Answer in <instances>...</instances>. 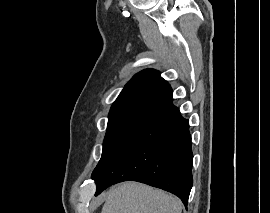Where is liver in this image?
I'll return each mask as SVG.
<instances>
[{
  "label": "liver",
  "instance_id": "liver-1",
  "mask_svg": "<svg viewBox=\"0 0 270 213\" xmlns=\"http://www.w3.org/2000/svg\"><path fill=\"white\" fill-rule=\"evenodd\" d=\"M101 213H181V201L161 190L125 182L103 195Z\"/></svg>",
  "mask_w": 270,
  "mask_h": 213
}]
</instances>
